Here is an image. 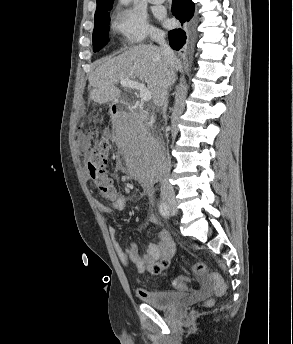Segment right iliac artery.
Here are the masks:
<instances>
[{
	"instance_id": "1",
	"label": "right iliac artery",
	"mask_w": 293,
	"mask_h": 344,
	"mask_svg": "<svg viewBox=\"0 0 293 344\" xmlns=\"http://www.w3.org/2000/svg\"><path fill=\"white\" fill-rule=\"evenodd\" d=\"M159 211H160L161 215L164 216L165 218H168L170 216L169 209L164 202H161L159 204Z\"/></svg>"
}]
</instances>
